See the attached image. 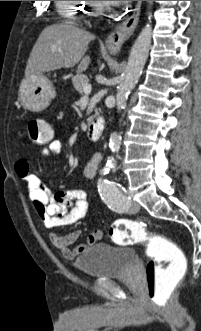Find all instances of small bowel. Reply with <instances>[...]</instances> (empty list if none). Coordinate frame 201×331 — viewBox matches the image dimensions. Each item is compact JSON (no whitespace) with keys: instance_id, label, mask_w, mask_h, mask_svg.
<instances>
[{"instance_id":"1","label":"small bowel","mask_w":201,"mask_h":331,"mask_svg":"<svg viewBox=\"0 0 201 331\" xmlns=\"http://www.w3.org/2000/svg\"><path fill=\"white\" fill-rule=\"evenodd\" d=\"M63 153V145L59 140L51 141L48 146L41 150L44 156H58ZM102 159L100 153H95L84 168L86 178L94 177L98 164ZM15 171L18 177L27 185L30 199L37 211L39 218L48 229L75 224L81 220L88 209L86 192L81 188L60 190L53 194L42 183L38 176L30 171L29 162L19 159L15 163ZM80 231H73L65 235L52 233L50 238L54 247L66 259H75L94 243L102 238L101 231H93L86 242L75 247L71 245L77 241Z\"/></svg>"}]
</instances>
